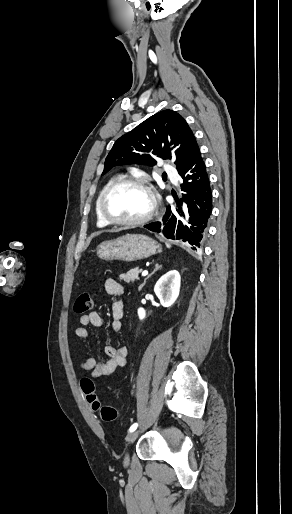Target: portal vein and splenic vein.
I'll return each mask as SVG.
<instances>
[{"label":"portal vein and splenic vein","mask_w":292,"mask_h":514,"mask_svg":"<svg viewBox=\"0 0 292 514\" xmlns=\"http://www.w3.org/2000/svg\"><path fill=\"white\" fill-rule=\"evenodd\" d=\"M148 272H142V276H147Z\"/></svg>","instance_id":"obj_1"}]
</instances>
